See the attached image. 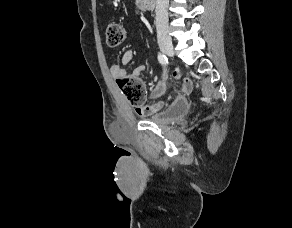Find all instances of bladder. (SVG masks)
<instances>
[{
    "mask_svg": "<svg viewBox=\"0 0 292 228\" xmlns=\"http://www.w3.org/2000/svg\"><path fill=\"white\" fill-rule=\"evenodd\" d=\"M188 112V102L186 100H181L172 105L165 113L152 115L148 117L147 120L158 125H165L183 118Z\"/></svg>",
    "mask_w": 292,
    "mask_h": 228,
    "instance_id": "bladder-1",
    "label": "bladder"
}]
</instances>
